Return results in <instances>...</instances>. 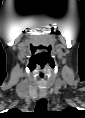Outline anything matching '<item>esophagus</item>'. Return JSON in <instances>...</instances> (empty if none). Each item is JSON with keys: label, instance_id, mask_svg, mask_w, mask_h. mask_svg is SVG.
Instances as JSON below:
<instances>
[{"label": "esophagus", "instance_id": "esophagus-1", "mask_svg": "<svg viewBox=\"0 0 85 118\" xmlns=\"http://www.w3.org/2000/svg\"><path fill=\"white\" fill-rule=\"evenodd\" d=\"M40 96L43 97V98L46 97V91L42 90V91L40 92Z\"/></svg>", "mask_w": 85, "mask_h": 118}]
</instances>
